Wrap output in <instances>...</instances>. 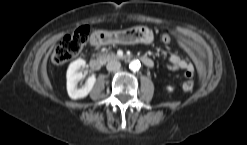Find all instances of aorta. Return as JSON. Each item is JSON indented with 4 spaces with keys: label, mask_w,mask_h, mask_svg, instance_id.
Instances as JSON below:
<instances>
[{
    "label": "aorta",
    "mask_w": 247,
    "mask_h": 145,
    "mask_svg": "<svg viewBox=\"0 0 247 145\" xmlns=\"http://www.w3.org/2000/svg\"><path fill=\"white\" fill-rule=\"evenodd\" d=\"M141 67V63L139 60H132L130 63H129V68L132 70V71H138Z\"/></svg>",
    "instance_id": "obj_1"
}]
</instances>
